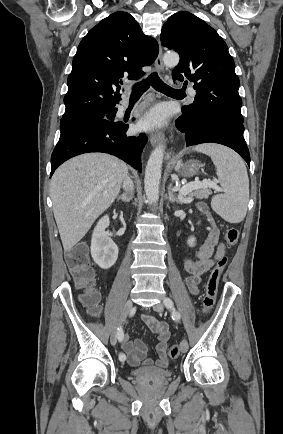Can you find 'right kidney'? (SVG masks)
Masks as SVG:
<instances>
[{
    "instance_id": "ca27d5eb",
    "label": "right kidney",
    "mask_w": 283,
    "mask_h": 434,
    "mask_svg": "<svg viewBox=\"0 0 283 434\" xmlns=\"http://www.w3.org/2000/svg\"><path fill=\"white\" fill-rule=\"evenodd\" d=\"M109 224V217H102L94 228L91 239V256L102 269L112 267L118 258V246L105 232Z\"/></svg>"
}]
</instances>
